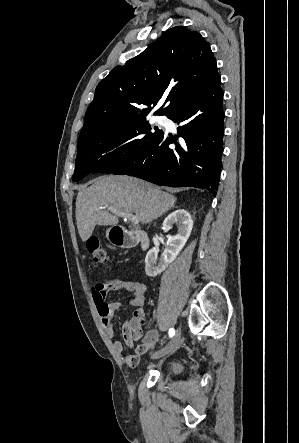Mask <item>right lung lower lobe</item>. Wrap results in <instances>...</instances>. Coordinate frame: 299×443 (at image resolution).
Returning <instances> with one entry per match:
<instances>
[{
	"label": "right lung lower lobe",
	"mask_w": 299,
	"mask_h": 443,
	"mask_svg": "<svg viewBox=\"0 0 299 443\" xmlns=\"http://www.w3.org/2000/svg\"><path fill=\"white\" fill-rule=\"evenodd\" d=\"M222 98L217 75L166 114L179 124L178 136L166 137L162 133L139 159L114 174L138 177L157 185L204 188L215 196L221 169Z\"/></svg>",
	"instance_id": "obj_1"
}]
</instances>
